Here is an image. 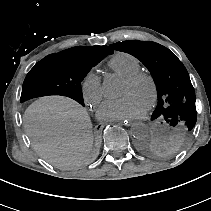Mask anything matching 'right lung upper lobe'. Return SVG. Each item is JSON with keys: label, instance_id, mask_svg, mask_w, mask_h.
<instances>
[{"label": "right lung upper lobe", "instance_id": "1", "mask_svg": "<svg viewBox=\"0 0 211 211\" xmlns=\"http://www.w3.org/2000/svg\"><path fill=\"white\" fill-rule=\"evenodd\" d=\"M64 52L71 53L74 55H81V56H92V55H99V56H107L113 53V50L110 49L108 46H78L74 48H70L64 50Z\"/></svg>", "mask_w": 211, "mask_h": 211}]
</instances>
